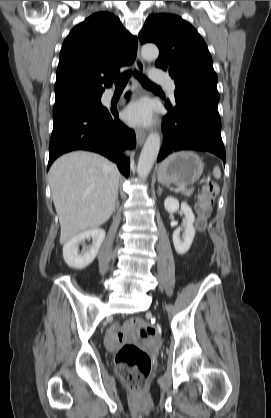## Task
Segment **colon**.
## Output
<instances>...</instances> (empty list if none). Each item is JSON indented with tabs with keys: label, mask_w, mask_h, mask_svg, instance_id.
I'll return each mask as SVG.
<instances>
[{
	"label": "colon",
	"mask_w": 271,
	"mask_h": 418,
	"mask_svg": "<svg viewBox=\"0 0 271 418\" xmlns=\"http://www.w3.org/2000/svg\"><path fill=\"white\" fill-rule=\"evenodd\" d=\"M218 193V185L213 181H207L198 195L197 213L199 215L198 227L203 229L206 219L212 212L214 199ZM141 326L140 334L143 338L153 337L155 328L143 321L137 320ZM116 368L122 379L136 396L143 394L150 372L151 358L136 345L126 344L117 353Z\"/></svg>",
	"instance_id": "obj_1"
}]
</instances>
